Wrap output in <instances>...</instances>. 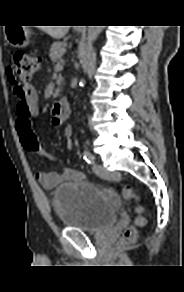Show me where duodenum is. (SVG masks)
Listing matches in <instances>:
<instances>
[{
	"label": "duodenum",
	"mask_w": 184,
	"mask_h": 292,
	"mask_svg": "<svg viewBox=\"0 0 184 292\" xmlns=\"http://www.w3.org/2000/svg\"><path fill=\"white\" fill-rule=\"evenodd\" d=\"M54 119L63 121L69 116V102L66 99L58 100L53 109Z\"/></svg>",
	"instance_id": "1"
}]
</instances>
